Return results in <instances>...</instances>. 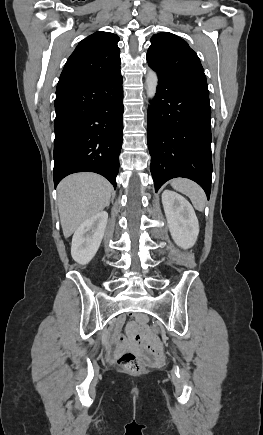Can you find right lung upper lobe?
I'll return each instance as SVG.
<instances>
[{
	"mask_svg": "<svg viewBox=\"0 0 263 435\" xmlns=\"http://www.w3.org/2000/svg\"><path fill=\"white\" fill-rule=\"evenodd\" d=\"M119 37L99 31L82 40L67 60L57 90L105 77L120 69Z\"/></svg>",
	"mask_w": 263,
	"mask_h": 435,
	"instance_id": "1",
	"label": "right lung upper lobe"
}]
</instances>
